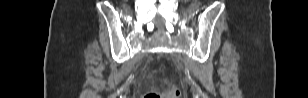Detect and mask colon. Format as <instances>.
Returning a JSON list of instances; mask_svg holds the SVG:
<instances>
[{"label": "colon", "instance_id": "colon-1", "mask_svg": "<svg viewBox=\"0 0 308 98\" xmlns=\"http://www.w3.org/2000/svg\"><path fill=\"white\" fill-rule=\"evenodd\" d=\"M180 96V90L175 85H169L166 93H161L159 91H150L145 94L144 98H179Z\"/></svg>", "mask_w": 308, "mask_h": 98}]
</instances>
